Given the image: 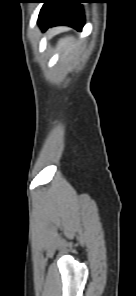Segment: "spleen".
I'll use <instances>...</instances> for the list:
<instances>
[{
    "instance_id": "obj_1",
    "label": "spleen",
    "mask_w": 136,
    "mask_h": 296,
    "mask_svg": "<svg viewBox=\"0 0 136 296\" xmlns=\"http://www.w3.org/2000/svg\"><path fill=\"white\" fill-rule=\"evenodd\" d=\"M61 47L65 49V52L75 47L74 41L71 37H67L60 41Z\"/></svg>"
}]
</instances>
